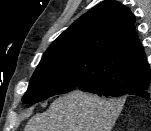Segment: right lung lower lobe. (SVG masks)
Wrapping results in <instances>:
<instances>
[{
  "label": "right lung lower lobe",
  "mask_w": 151,
  "mask_h": 131,
  "mask_svg": "<svg viewBox=\"0 0 151 131\" xmlns=\"http://www.w3.org/2000/svg\"><path fill=\"white\" fill-rule=\"evenodd\" d=\"M89 77L83 78L82 76L76 79V88H79L82 91L90 92V93H95L99 96H105V97H119L125 94H130V95H136L139 97H142L146 100L151 99V94L148 91L149 84L139 86L133 90H130L128 92H117L113 89L109 88H104L101 87L100 85H95L94 82L91 80L89 81Z\"/></svg>",
  "instance_id": "98d812e1"
}]
</instances>
